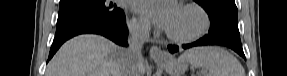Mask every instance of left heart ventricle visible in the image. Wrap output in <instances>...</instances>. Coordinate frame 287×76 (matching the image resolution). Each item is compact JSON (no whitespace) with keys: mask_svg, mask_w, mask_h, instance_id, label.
<instances>
[{"mask_svg":"<svg viewBox=\"0 0 287 76\" xmlns=\"http://www.w3.org/2000/svg\"><path fill=\"white\" fill-rule=\"evenodd\" d=\"M200 24L201 18L198 13L190 9L179 8L174 21L167 31L174 35L184 36L196 31Z\"/></svg>","mask_w":287,"mask_h":76,"instance_id":"b2bd125f","label":"left heart ventricle"}]
</instances>
